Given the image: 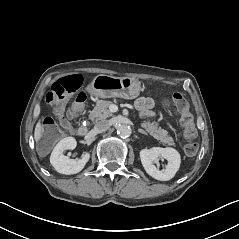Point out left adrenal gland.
I'll return each mask as SVG.
<instances>
[{"instance_id": "a2214340", "label": "left adrenal gland", "mask_w": 239, "mask_h": 239, "mask_svg": "<svg viewBox=\"0 0 239 239\" xmlns=\"http://www.w3.org/2000/svg\"><path fill=\"white\" fill-rule=\"evenodd\" d=\"M138 132L141 133V134H144V135L148 136V134H147L144 130H142L141 128L138 129Z\"/></svg>"}]
</instances>
